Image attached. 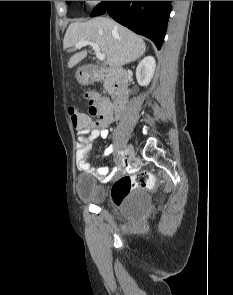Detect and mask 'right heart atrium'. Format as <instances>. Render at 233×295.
<instances>
[{"label": "right heart atrium", "instance_id": "right-heart-atrium-1", "mask_svg": "<svg viewBox=\"0 0 233 295\" xmlns=\"http://www.w3.org/2000/svg\"><path fill=\"white\" fill-rule=\"evenodd\" d=\"M86 3L89 6L94 7V6H97L99 3H101V1H86Z\"/></svg>", "mask_w": 233, "mask_h": 295}]
</instances>
